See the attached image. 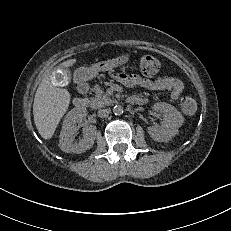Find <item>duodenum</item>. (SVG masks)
Instances as JSON below:
<instances>
[{"label": "duodenum", "mask_w": 231, "mask_h": 231, "mask_svg": "<svg viewBox=\"0 0 231 231\" xmlns=\"http://www.w3.org/2000/svg\"><path fill=\"white\" fill-rule=\"evenodd\" d=\"M78 94L73 99V104L76 108H86L88 106V99L86 98V94L89 90L88 83L85 81H79L77 85ZM131 101L136 104H144L146 103V99L143 96H134L131 98Z\"/></svg>", "instance_id": "410a0bca"}]
</instances>
